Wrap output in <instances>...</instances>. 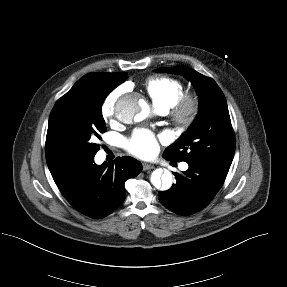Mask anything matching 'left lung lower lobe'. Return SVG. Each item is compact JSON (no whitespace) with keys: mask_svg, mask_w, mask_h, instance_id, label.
<instances>
[{"mask_svg":"<svg viewBox=\"0 0 287 287\" xmlns=\"http://www.w3.org/2000/svg\"><path fill=\"white\" fill-rule=\"evenodd\" d=\"M188 164L183 174L174 173L176 183L169 190L158 193L161 204L179 215H190L207 206L226 178L202 164Z\"/></svg>","mask_w":287,"mask_h":287,"instance_id":"0a47b994","label":"left lung lower lobe"}]
</instances>
